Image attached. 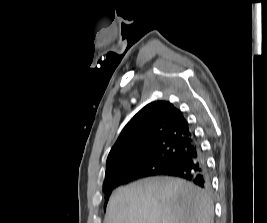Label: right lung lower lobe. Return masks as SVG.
Segmentation results:
<instances>
[{
  "mask_svg": "<svg viewBox=\"0 0 267 223\" xmlns=\"http://www.w3.org/2000/svg\"><path fill=\"white\" fill-rule=\"evenodd\" d=\"M156 175L179 177L201 188H208L209 186L206 161L195 139V142L185 149L183 154L165 171L150 174L146 171L134 170L115 175L104 181L103 190L105 194L111 193L115 187L131 180Z\"/></svg>",
  "mask_w": 267,
  "mask_h": 223,
  "instance_id": "1",
  "label": "right lung lower lobe"
}]
</instances>
